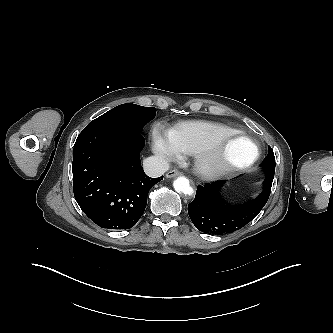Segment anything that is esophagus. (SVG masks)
<instances>
[{"instance_id": "esophagus-1", "label": "esophagus", "mask_w": 333, "mask_h": 333, "mask_svg": "<svg viewBox=\"0 0 333 333\" xmlns=\"http://www.w3.org/2000/svg\"><path fill=\"white\" fill-rule=\"evenodd\" d=\"M181 174H182V172H180L179 170L173 169V170H170L166 173V177L167 178H173V177L180 176Z\"/></svg>"}]
</instances>
